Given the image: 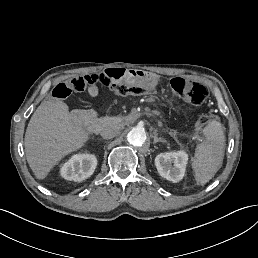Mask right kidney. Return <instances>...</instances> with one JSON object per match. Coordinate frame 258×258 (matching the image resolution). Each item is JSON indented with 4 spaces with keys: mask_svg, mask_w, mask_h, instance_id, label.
<instances>
[{
    "mask_svg": "<svg viewBox=\"0 0 258 258\" xmlns=\"http://www.w3.org/2000/svg\"><path fill=\"white\" fill-rule=\"evenodd\" d=\"M97 163L98 160L94 154L75 153L62 164L60 176L68 181H84L94 173Z\"/></svg>",
    "mask_w": 258,
    "mask_h": 258,
    "instance_id": "1",
    "label": "right kidney"
}]
</instances>
